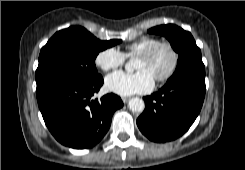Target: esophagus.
<instances>
[{
    "label": "esophagus",
    "instance_id": "esophagus-1",
    "mask_svg": "<svg viewBox=\"0 0 245 170\" xmlns=\"http://www.w3.org/2000/svg\"><path fill=\"white\" fill-rule=\"evenodd\" d=\"M129 97H122V101L124 102V103H127L128 101H129Z\"/></svg>",
    "mask_w": 245,
    "mask_h": 170
}]
</instances>
